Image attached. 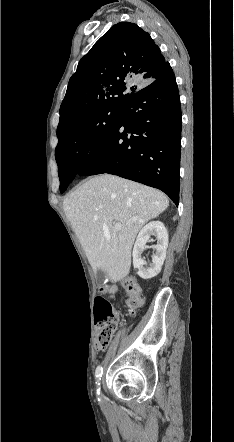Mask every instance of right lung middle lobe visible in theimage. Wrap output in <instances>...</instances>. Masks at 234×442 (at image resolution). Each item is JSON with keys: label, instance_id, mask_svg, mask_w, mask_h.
I'll list each match as a JSON object with an SVG mask.
<instances>
[{"label": "right lung middle lobe", "instance_id": "obj_1", "mask_svg": "<svg viewBox=\"0 0 234 442\" xmlns=\"http://www.w3.org/2000/svg\"><path fill=\"white\" fill-rule=\"evenodd\" d=\"M121 113V106L95 111L79 119L58 138L55 157L58 164L60 192L74 179L84 160L109 136Z\"/></svg>", "mask_w": 234, "mask_h": 442}]
</instances>
